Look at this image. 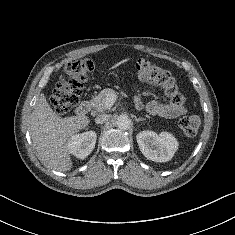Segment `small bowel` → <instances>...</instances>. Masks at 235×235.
Listing matches in <instances>:
<instances>
[{"instance_id":"c3829d8e","label":"small bowel","mask_w":235,"mask_h":235,"mask_svg":"<svg viewBox=\"0 0 235 235\" xmlns=\"http://www.w3.org/2000/svg\"><path fill=\"white\" fill-rule=\"evenodd\" d=\"M134 102L136 108L142 109L145 106L146 110L150 114L166 119L177 118L186 112V108L183 104H174L172 102L164 103L157 100H152L144 105L139 96L135 97Z\"/></svg>"}]
</instances>
